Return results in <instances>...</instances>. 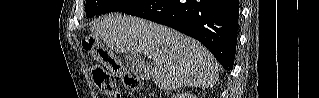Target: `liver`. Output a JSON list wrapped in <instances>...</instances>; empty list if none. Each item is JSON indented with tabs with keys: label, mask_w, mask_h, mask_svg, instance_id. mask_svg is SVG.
<instances>
[{
	"label": "liver",
	"mask_w": 319,
	"mask_h": 98,
	"mask_svg": "<svg viewBox=\"0 0 319 98\" xmlns=\"http://www.w3.org/2000/svg\"><path fill=\"white\" fill-rule=\"evenodd\" d=\"M91 31L116 53L136 57L148 51L154 64L150 75L162 90L205 89L219 79L218 64L207 48L167 26L114 13L94 24Z\"/></svg>",
	"instance_id": "liver-1"
}]
</instances>
